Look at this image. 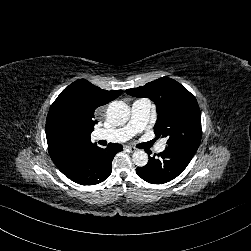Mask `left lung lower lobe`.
<instances>
[{"instance_id": "left-lung-lower-lobe-1", "label": "left lung lower lobe", "mask_w": 251, "mask_h": 251, "mask_svg": "<svg viewBox=\"0 0 251 251\" xmlns=\"http://www.w3.org/2000/svg\"><path fill=\"white\" fill-rule=\"evenodd\" d=\"M195 153L181 146H167L163 152L149 157L148 163L137 168L136 173L152 184L167 183L183 172Z\"/></svg>"}]
</instances>
